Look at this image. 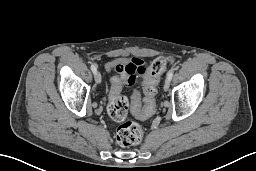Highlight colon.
<instances>
[{
  "label": "colon",
  "mask_w": 256,
  "mask_h": 171,
  "mask_svg": "<svg viewBox=\"0 0 256 171\" xmlns=\"http://www.w3.org/2000/svg\"><path fill=\"white\" fill-rule=\"evenodd\" d=\"M167 62L164 58L155 59L144 77V102L145 109H141V100L139 93L135 92L132 100V110L141 116L145 113H151L155 106V96L157 93L156 86L160 76L165 72ZM122 77L118 73L117 80L121 81ZM129 110V102L125 96L120 94V87L114 88L109 95L107 111L111 119L119 122L120 125L116 130V141L120 146H132L138 144L143 136L142 128L139 124L131 121H125Z\"/></svg>",
  "instance_id": "5ec220e1"
}]
</instances>
